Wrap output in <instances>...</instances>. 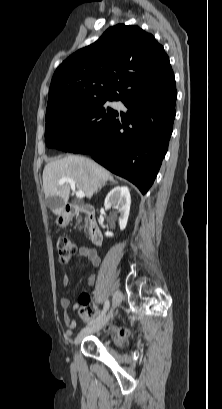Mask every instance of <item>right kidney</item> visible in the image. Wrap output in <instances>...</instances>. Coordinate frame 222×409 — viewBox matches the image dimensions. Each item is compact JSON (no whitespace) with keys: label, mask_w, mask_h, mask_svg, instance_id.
Wrapping results in <instances>:
<instances>
[{"label":"right kidney","mask_w":222,"mask_h":409,"mask_svg":"<svg viewBox=\"0 0 222 409\" xmlns=\"http://www.w3.org/2000/svg\"><path fill=\"white\" fill-rule=\"evenodd\" d=\"M131 205L130 191L127 186H116L106 196L104 206L107 209L114 208L119 213L120 229L124 230L127 225ZM107 237H112L113 233L107 231Z\"/></svg>","instance_id":"1"}]
</instances>
